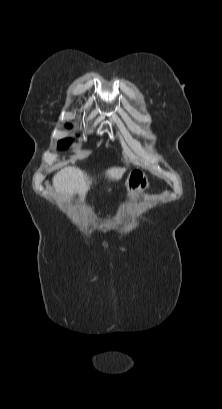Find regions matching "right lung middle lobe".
<instances>
[{
    "label": "right lung middle lobe",
    "instance_id": "right-lung-middle-lobe-1",
    "mask_svg": "<svg viewBox=\"0 0 222 409\" xmlns=\"http://www.w3.org/2000/svg\"><path fill=\"white\" fill-rule=\"evenodd\" d=\"M67 126L69 127V125H67ZM70 144H71V141L69 139L59 141L58 148L59 149H66Z\"/></svg>",
    "mask_w": 222,
    "mask_h": 409
}]
</instances>
